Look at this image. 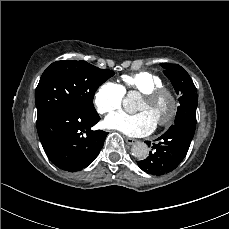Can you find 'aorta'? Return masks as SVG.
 Returning a JSON list of instances; mask_svg holds the SVG:
<instances>
[{"instance_id": "762f6f07", "label": "aorta", "mask_w": 229, "mask_h": 229, "mask_svg": "<svg viewBox=\"0 0 229 229\" xmlns=\"http://www.w3.org/2000/svg\"><path fill=\"white\" fill-rule=\"evenodd\" d=\"M135 94L131 93L126 97L123 101V106L126 109H133L136 105L135 103ZM132 155L137 159H145L148 156L149 148L148 146L143 142H137L133 144L131 148Z\"/></svg>"}]
</instances>
